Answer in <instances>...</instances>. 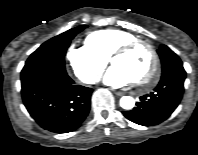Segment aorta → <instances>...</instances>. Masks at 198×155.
Masks as SVG:
<instances>
[{"label":"aorta","mask_w":198,"mask_h":155,"mask_svg":"<svg viewBox=\"0 0 198 155\" xmlns=\"http://www.w3.org/2000/svg\"><path fill=\"white\" fill-rule=\"evenodd\" d=\"M120 106L125 110H131L135 106V100L131 96H123L120 99Z\"/></svg>","instance_id":"762f6f07"}]
</instances>
